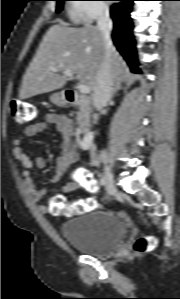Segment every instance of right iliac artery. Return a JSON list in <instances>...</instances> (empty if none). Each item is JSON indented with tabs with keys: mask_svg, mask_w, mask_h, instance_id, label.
Wrapping results in <instances>:
<instances>
[{
	"mask_svg": "<svg viewBox=\"0 0 180 299\" xmlns=\"http://www.w3.org/2000/svg\"><path fill=\"white\" fill-rule=\"evenodd\" d=\"M100 184H101L102 186H105V184H106V181H105V179H104V178H101V179H100Z\"/></svg>",
	"mask_w": 180,
	"mask_h": 299,
	"instance_id": "obj_1",
	"label": "right iliac artery"
}]
</instances>
